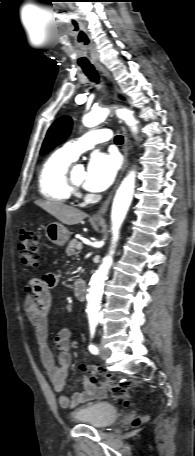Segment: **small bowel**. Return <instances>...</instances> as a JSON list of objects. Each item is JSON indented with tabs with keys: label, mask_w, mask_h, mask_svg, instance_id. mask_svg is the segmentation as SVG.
<instances>
[{
	"label": "small bowel",
	"mask_w": 195,
	"mask_h": 456,
	"mask_svg": "<svg viewBox=\"0 0 195 456\" xmlns=\"http://www.w3.org/2000/svg\"><path fill=\"white\" fill-rule=\"evenodd\" d=\"M60 280L58 273H46L41 279L32 278L25 287L24 310L32 323L39 343L40 359L57 393V400L63 408H73L80 404L105 397L106 390L99 387L90 378H83V391L68 396L64 392L65 380L71 364L72 331L60 330L54 338V345L59 350L55 362L48 339V316L52 307L50 290Z\"/></svg>",
	"instance_id": "1"
}]
</instances>
